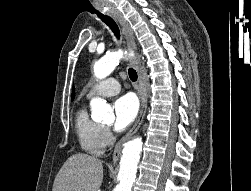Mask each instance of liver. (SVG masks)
Wrapping results in <instances>:
<instances>
[{
  "label": "liver",
  "mask_w": 251,
  "mask_h": 191,
  "mask_svg": "<svg viewBox=\"0 0 251 191\" xmlns=\"http://www.w3.org/2000/svg\"><path fill=\"white\" fill-rule=\"evenodd\" d=\"M102 179L101 159L88 153H74L58 171L52 191H98Z\"/></svg>",
  "instance_id": "liver-1"
}]
</instances>
